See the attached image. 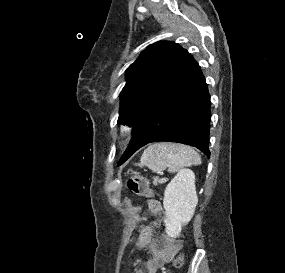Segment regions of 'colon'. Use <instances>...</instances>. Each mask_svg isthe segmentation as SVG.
Segmentation results:
<instances>
[{"instance_id": "colon-1", "label": "colon", "mask_w": 285, "mask_h": 273, "mask_svg": "<svg viewBox=\"0 0 285 273\" xmlns=\"http://www.w3.org/2000/svg\"><path fill=\"white\" fill-rule=\"evenodd\" d=\"M126 188L133 194L140 197H149L151 195V190L148 187L146 181L138 175H131L128 177L126 181ZM139 232H148V227H146L145 223L141 224V227H139ZM182 263L183 258L181 255H179L174 260L173 266L180 267ZM164 273H169V271L167 270Z\"/></svg>"}]
</instances>
